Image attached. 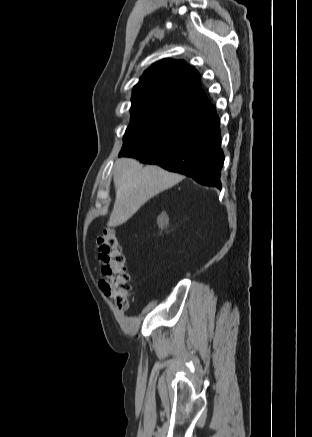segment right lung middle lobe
Here are the masks:
<instances>
[{"mask_svg": "<svg viewBox=\"0 0 312 437\" xmlns=\"http://www.w3.org/2000/svg\"><path fill=\"white\" fill-rule=\"evenodd\" d=\"M130 111L131 124L125 131L119 156L162 143L186 129L200 115L162 104L132 107Z\"/></svg>", "mask_w": 312, "mask_h": 437, "instance_id": "dd1d6c3e", "label": "right lung middle lobe"}]
</instances>
